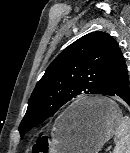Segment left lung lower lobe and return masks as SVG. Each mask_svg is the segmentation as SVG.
Returning a JSON list of instances; mask_svg holds the SVG:
<instances>
[{"label": "left lung lower lobe", "instance_id": "1", "mask_svg": "<svg viewBox=\"0 0 130 153\" xmlns=\"http://www.w3.org/2000/svg\"><path fill=\"white\" fill-rule=\"evenodd\" d=\"M99 94L119 97L130 106L128 70L121 51L109 68ZM85 110L86 108H83L76 113L81 114Z\"/></svg>", "mask_w": 130, "mask_h": 153}]
</instances>
